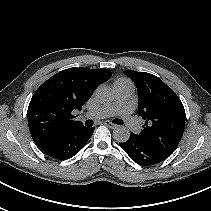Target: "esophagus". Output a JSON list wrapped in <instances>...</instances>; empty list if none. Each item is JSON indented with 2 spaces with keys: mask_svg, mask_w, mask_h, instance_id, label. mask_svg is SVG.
<instances>
[{
  "mask_svg": "<svg viewBox=\"0 0 211 211\" xmlns=\"http://www.w3.org/2000/svg\"><path fill=\"white\" fill-rule=\"evenodd\" d=\"M104 124L111 129H115L117 126L113 124L111 121H104Z\"/></svg>",
  "mask_w": 211,
  "mask_h": 211,
  "instance_id": "obj_1",
  "label": "esophagus"
}]
</instances>
